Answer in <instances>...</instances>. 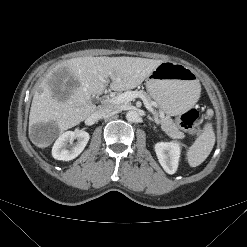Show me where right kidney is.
Returning <instances> with one entry per match:
<instances>
[{
  "mask_svg": "<svg viewBox=\"0 0 247 247\" xmlns=\"http://www.w3.org/2000/svg\"><path fill=\"white\" fill-rule=\"evenodd\" d=\"M89 138V133L86 131H67L55 141L52 156L57 160H73L84 150ZM74 139L77 141L73 144Z\"/></svg>",
  "mask_w": 247,
  "mask_h": 247,
  "instance_id": "obj_1",
  "label": "right kidney"
}]
</instances>
